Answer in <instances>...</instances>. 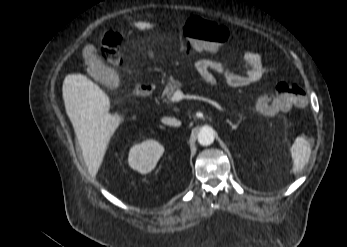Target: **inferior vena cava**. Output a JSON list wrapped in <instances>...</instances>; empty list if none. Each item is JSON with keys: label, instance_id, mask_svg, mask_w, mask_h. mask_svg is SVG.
Listing matches in <instances>:
<instances>
[{"label": "inferior vena cava", "instance_id": "1", "mask_svg": "<svg viewBox=\"0 0 347 247\" xmlns=\"http://www.w3.org/2000/svg\"><path fill=\"white\" fill-rule=\"evenodd\" d=\"M162 122L167 125L180 126L181 122L175 118L163 117Z\"/></svg>", "mask_w": 347, "mask_h": 247}]
</instances>
